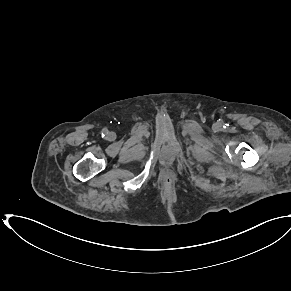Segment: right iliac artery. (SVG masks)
<instances>
[{"label": "right iliac artery", "instance_id": "right-iliac-artery-1", "mask_svg": "<svg viewBox=\"0 0 291 291\" xmlns=\"http://www.w3.org/2000/svg\"><path fill=\"white\" fill-rule=\"evenodd\" d=\"M103 133H104V134L106 133V129H103V130H102V134H103Z\"/></svg>", "mask_w": 291, "mask_h": 291}]
</instances>
